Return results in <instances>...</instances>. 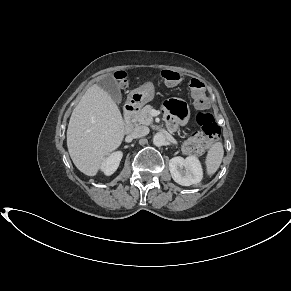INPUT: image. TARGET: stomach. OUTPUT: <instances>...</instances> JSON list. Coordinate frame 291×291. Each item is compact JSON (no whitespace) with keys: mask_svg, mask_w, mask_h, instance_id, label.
Returning a JSON list of instances; mask_svg holds the SVG:
<instances>
[{"mask_svg":"<svg viewBox=\"0 0 291 291\" xmlns=\"http://www.w3.org/2000/svg\"><path fill=\"white\" fill-rule=\"evenodd\" d=\"M154 93V85L151 82H148L139 88L132 90L129 93L127 100L129 103L140 107L150 102L154 98Z\"/></svg>","mask_w":291,"mask_h":291,"instance_id":"1","label":"stomach"}]
</instances>
